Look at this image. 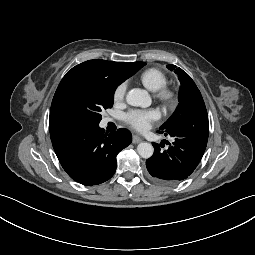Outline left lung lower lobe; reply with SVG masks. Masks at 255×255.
I'll return each mask as SVG.
<instances>
[{
    "label": "left lung lower lobe",
    "instance_id": "obj_1",
    "mask_svg": "<svg viewBox=\"0 0 255 255\" xmlns=\"http://www.w3.org/2000/svg\"><path fill=\"white\" fill-rule=\"evenodd\" d=\"M174 142L166 151L154 145V154L147 159L150 175L162 183H177L189 177L198 166L208 141L209 122L205 104L193 107L164 130Z\"/></svg>",
    "mask_w": 255,
    "mask_h": 255
}]
</instances>
